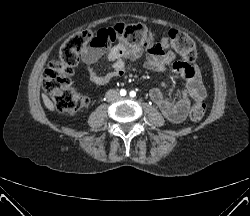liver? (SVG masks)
<instances>
[{
  "instance_id": "obj_1",
  "label": "liver",
  "mask_w": 250,
  "mask_h": 216,
  "mask_svg": "<svg viewBox=\"0 0 250 216\" xmlns=\"http://www.w3.org/2000/svg\"><path fill=\"white\" fill-rule=\"evenodd\" d=\"M42 98L46 108L53 111L55 107L51 100L48 98V96L46 94H42Z\"/></svg>"
}]
</instances>
